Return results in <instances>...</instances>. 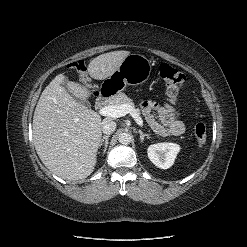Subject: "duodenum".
<instances>
[{
  "instance_id": "obj_1",
  "label": "duodenum",
  "mask_w": 247,
  "mask_h": 247,
  "mask_svg": "<svg viewBox=\"0 0 247 247\" xmlns=\"http://www.w3.org/2000/svg\"><path fill=\"white\" fill-rule=\"evenodd\" d=\"M110 96H111L110 91H103L102 93H100L96 98V106L97 107L104 106L108 102Z\"/></svg>"
}]
</instances>
